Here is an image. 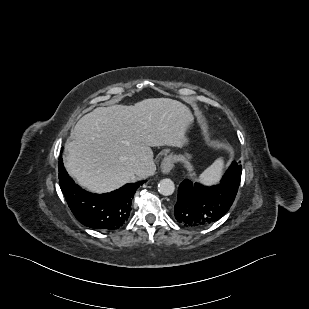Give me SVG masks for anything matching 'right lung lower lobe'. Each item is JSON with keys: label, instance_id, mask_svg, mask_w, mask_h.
Listing matches in <instances>:
<instances>
[{"label": "right lung lower lobe", "instance_id": "obj_1", "mask_svg": "<svg viewBox=\"0 0 309 309\" xmlns=\"http://www.w3.org/2000/svg\"><path fill=\"white\" fill-rule=\"evenodd\" d=\"M59 184L76 219L83 225L100 230H115L127 220L131 198L143 182L126 184L107 194H92L81 189L67 174L59 157Z\"/></svg>", "mask_w": 309, "mask_h": 309}]
</instances>
